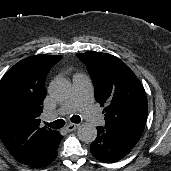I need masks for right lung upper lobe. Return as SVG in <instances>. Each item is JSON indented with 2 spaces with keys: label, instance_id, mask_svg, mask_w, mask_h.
Here are the masks:
<instances>
[{
  "label": "right lung upper lobe",
  "instance_id": "obj_1",
  "mask_svg": "<svg viewBox=\"0 0 171 171\" xmlns=\"http://www.w3.org/2000/svg\"><path fill=\"white\" fill-rule=\"evenodd\" d=\"M61 55L39 54L15 64L0 81V138L20 163L30 164L48 148L57 132L40 128L45 80Z\"/></svg>",
  "mask_w": 171,
  "mask_h": 171
}]
</instances>
